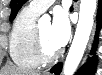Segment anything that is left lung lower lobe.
Listing matches in <instances>:
<instances>
[{
    "label": "left lung lower lobe",
    "instance_id": "0a47b994",
    "mask_svg": "<svg viewBox=\"0 0 102 75\" xmlns=\"http://www.w3.org/2000/svg\"><path fill=\"white\" fill-rule=\"evenodd\" d=\"M99 7H98V13H97V24H98V29L100 28L101 21H102V1L99 0L98 2ZM97 44V38L95 39L93 49L96 48ZM95 63H96V58L93 57L91 58L87 64H85L76 75H94L95 72ZM62 69V63L56 64L51 72H55V74H59Z\"/></svg>",
    "mask_w": 102,
    "mask_h": 75
}]
</instances>
